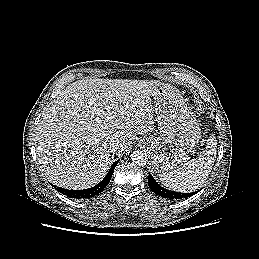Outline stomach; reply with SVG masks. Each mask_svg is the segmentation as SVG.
Wrapping results in <instances>:
<instances>
[{"instance_id":"1","label":"stomach","mask_w":259,"mask_h":259,"mask_svg":"<svg viewBox=\"0 0 259 259\" xmlns=\"http://www.w3.org/2000/svg\"><path fill=\"white\" fill-rule=\"evenodd\" d=\"M158 137L140 140L147 147L154 172L169 173L189 159L200 141V127L176 88L163 84L154 94Z\"/></svg>"}]
</instances>
